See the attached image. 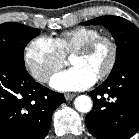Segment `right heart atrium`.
I'll list each match as a JSON object with an SVG mask.
<instances>
[{
  "mask_svg": "<svg viewBox=\"0 0 139 139\" xmlns=\"http://www.w3.org/2000/svg\"><path fill=\"white\" fill-rule=\"evenodd\" d=\"M23 57L30 74L41 83H46L64 65V55L54 41L45 36L30 41Z\"/></svg>",
  "mask_w": 139,
  "mask_h": 139,
  "instance_id": "obj_1",
  "label": "right heart atrium"
}]
</instances>
